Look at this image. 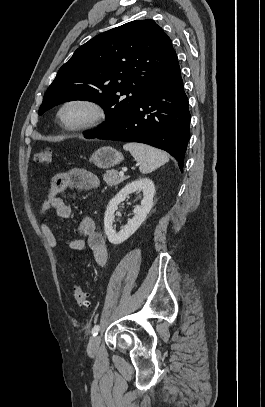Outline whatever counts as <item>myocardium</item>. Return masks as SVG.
I'll return each instance as SVG.
<instances>
[{
  "mask_svg": "<svg viewBox=\"0 0 265 407\" xmlns=\"http://www.w3.org/2000/svg\"><path fill=\"white\" fill-rule=\"evenodd\" d=\"M70 107H81L86 116L76 122L68 121L64 114ZM107 110L99 101L89 97H71L64 100L56 111V120L59 126L68 132H83L102 125L107 119Z\"/></svg>",
  "mask_w": 265,
  "mask_h": 407,
  "instance_id": "f54148a6",
  "label": "myocardium"
}]
</instances>
